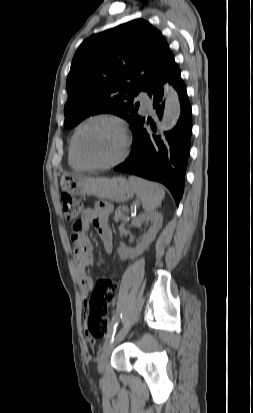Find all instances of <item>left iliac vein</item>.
Listing matches in <instances>:
<instances>
[{"label": "left iliac vein", "mask_w": 253, "mask_h": 413, "mask_svg": "<svg viewBox=\"0 0 253 413\" xmlns=\"http://www.w3.org/2000/svg\"><path fill=\"white\" fill-rule=\"evenodd\" d=\"M127 332H128V327H123L116 334L114 341L111 344L104 346V349L100 353L99 360H98V370H99V372L104 371V368H105L106 363H107V361L110 357V354L112 352L113 347L124 338V336L127 334Z\"/></svg>", "instance_id": "left-iliac-vein-1"}]
</instances>
